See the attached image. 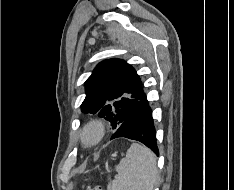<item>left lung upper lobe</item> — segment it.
I'll return each mask as SVG.
<instances>
[{"instance_id": "left-lung-upper-lobe-1", "label": "left lung upper lobe", "mask_w": 234, "mask_h": 190, "mask_svg": "<svg viewBox=\"0 0 234 190\" xmlns=\"http://www.w3.org/2000/svg\"><path fill=\"white\" fill-rule=\"evenodd\" d=\"M82 112L98 114L117 129L144 92L135 69L121 59L100 62L85 82Z\"/></svg>"}]
</instances>
